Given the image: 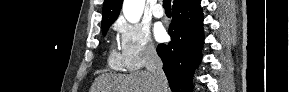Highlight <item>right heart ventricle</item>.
<instances>
[{"label":"right heart ventricle","instance_id":"1","mask_svg":"<svg viewBox=\"0 0 289 92\" xmlns=\"http://www.w3.org/2000/svg\"><path fill=\"white\" fill-rule=\"evenodd\" d=\"M110 65L117 68L120 66L121 60L120 57L112 51L110 54V59H109Z\"/></svg>","mask_w":289,"mask_h":92}]
</instances>
